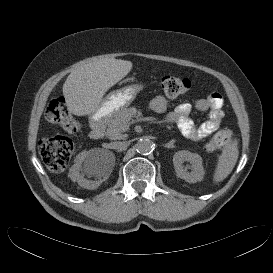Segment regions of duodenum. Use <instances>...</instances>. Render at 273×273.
Here are the masks:
<instances>
[{
  "instance_id": "duodenum-1",
  "label": "duodenum",
  "mask_w": 273,
  "mask_h": 273,
  "mask_svg": "<svg viewBox=\"0 0 273 273\" xmlns=\"http://www.w3.org/2000/svg\"><path fill=\"white\" fill-rule=\"evenodd\" d=\"M105 120L103 118H96L92 121L90 138L92 140H100L104 136Z\"/></svg>"
}]
</instances>
